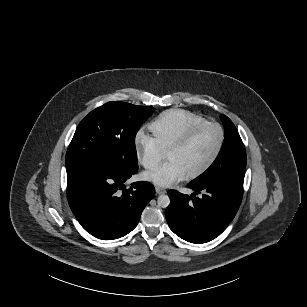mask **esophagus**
Segmentation results:
<instances>
[{
	"label": "esophagus",
	"mask_w": 307,
	"mask_h": 307,
	"mask_svg": "<svg viewBox=\"0 0 307 307\" xmlns=\"http://www.w3.org/2000/svg\"><path fill=\"white\" fill-rule=\"evenodd\" d=\"M155 190H156L157 195H162V194H166L167 193L165 189L160 188V187H156Z\"/></svg>",
	"instance_id": "1"
}]
</instances>
